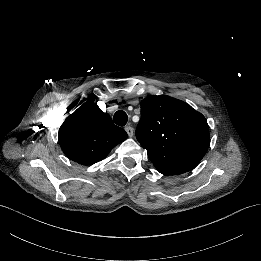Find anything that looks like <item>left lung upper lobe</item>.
<instances>
[{
	"instance_id": "obj_1",
	"label": "left lung upper lobe",
	"mask_w": 261,
	"mask_h": 261,
	"mask_svg": "<svg viewBox=\"0 0 261 261\" xmlns=\"http://www.w3.org/2000/svg\"><path fill=\"white\" fill-rule=\"evenodd\" d=\"M136 137L164 175H179L195 168L210 141L205 117L187 103L166 95H152L141 101Z\"/></svg>"
}]
</instances>
